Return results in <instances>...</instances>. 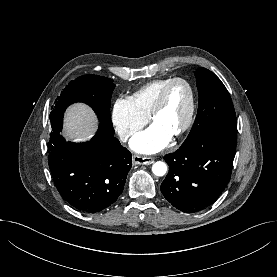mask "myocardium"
I'll use <instances>...</instances> for the list:
<instances>
[{
	"label": "myocardium",
	"instance_id": "myocardium-1",
	"mask_svg": "<svg viewBox=\"0 0 277 277\" xmlns=\"http://www.w3.org/2000/svg\"><path fill=\"white\" fill-rule=\"evenodd\" d=\"M176 83H181L186 87L187 92H188V106H187L185 120H184L183 124L181 125V127L174 134H172L173 137H178L181 134H183L184 132H186L192 124L194 109H195V101H194V92H193V88H192L191 84L183 78L170 79L161 89V91L154 103V106L150 112V119H151V121H154L156 116L159 114V112L162 110V108L165 104L169 89Z\"/></svg>",
	"mask_w": 277,
	"mask_h": 277
}]
</instances>
